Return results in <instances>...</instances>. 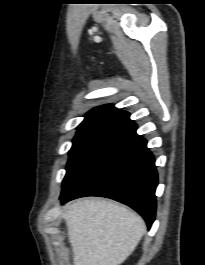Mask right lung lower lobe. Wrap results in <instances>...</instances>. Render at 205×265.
I'll return each mask as SVG.
<instances>
[{
	"label": "right lung lower lobe",
	"instance_id": "right-lung-lower-lobe-1",
	"mask_svg": "<svg viewBox=\"0 0 205 265\" xmlns=\"http://www.w3.org/2000/svg\"><path fill=\"white\" fill-rule=\"evenodd\" d=\"M131 124L66 191L64 203L84 196L107 197L136 210L148 228L155 219L158 184L153 154Z\"/></svg>",
	"mask_w": 205,
	"mask_h": 265
}]
</instances>
